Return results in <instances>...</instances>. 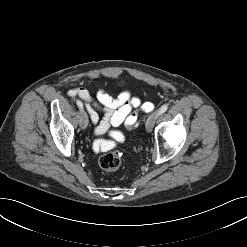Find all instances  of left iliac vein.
Wrapping results in <instances>:
<instances>
[{
	"instance_id": "obj_1",
	"label": "left iliac vein",
	"mask_w": 247,
	"mask_h": 247,
	"mask_svg": "<svg viewBox=\"0 0 247 247\" xmlns=\"http://www.w3.org/2000/svg\"><path fill=\"white\" fill-rule=\"evenodd\" d=\"M158 116H159V111H156V112H154V113L149 115V117H148V119L146 121V124H145L146 130L148 132H150L152 130V128H153Z\"/></svg>"
}]
</instances>
